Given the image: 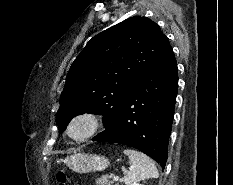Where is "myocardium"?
<instances>
[{"instance_id": "myocardium-1", "label": "myocardium", "mask_w": 233, "mask_h": 185, "mask_svg": "<svg viewBox=\"0 0 233 185\" xmlns=\"http://www.w3.org/2000/svg\"><path fill=\"white\" fill-rule=\"evenodd\" d=\"M79 120H86L90 124V128L86 134L81 137H74L71 134V129L73 125ZM103 126V119L100 114L94 111H82L75 114L68 122L66 127V134L67 136L73 140L74 142H84L88 139L94 137L102 128Z\"/></svg>"}]
</instances>
